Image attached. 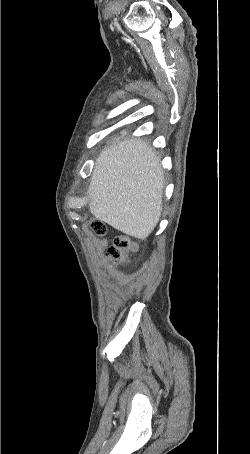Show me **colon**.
Instances as JSON below:
<instances>
[{"mask_svg":"<svg viewBox=\"0 0 250 454\" xmlns=\"http://www.w3.org/2000/svg\"><path fill=\"white\" fill-rule=\"evenodd\" d=\"M93 230L98 235L102 236L106 232L105 225L100 221L92 223ZM137 250V245L130 240L129 237L120 235L117 236L112 245L107 248L106 254L112 261L125 260L128 254Z\"/></svg>","mask_w":250,"mask_h":454,"instance_id":"5ec220e1","label":"colon"}]
</instances>
